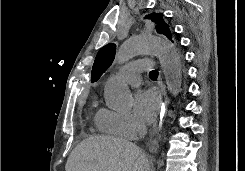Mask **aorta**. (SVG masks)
Segmentation results:
<instances>
[{
	"label": "aorta",
	"instance_id": "762f6f07",
	"mask_svg": "<svg viewBox=\"0 0 245 171\" xmlns=\"http://www.w3.org/2000/svg\"><path fill=\"white\" fill-rule=\"evenodd\" d=\"M153 53L160 61L168 88L176 94L181 86V67L178 53L167 41L153 36H135L125 40L117 55V63L122 65L135 56ZM106 105L113 110L128 111L133 104V96L128 86L117 78H111L105 85Z\"/></svg>",
	"mask_w": 245,
	"mask_h": 171
}]
</instances>
